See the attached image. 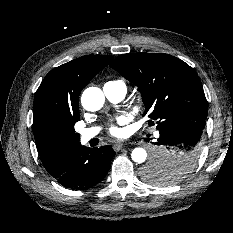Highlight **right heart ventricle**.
<instances>
[{
	"label": "right heart ventricle",
	"instance_id": "right-heart-ventricle-1",
	"mask_svg": "<svg viewBox=\"0 0 233 233\" xmlns=\"http://www.w3.org/2000/svg\"><path fill=\"white\" fill-rule=\"evenodd\" d=\"M106 84H110V85H124V83L121 80L109 81Z\"/></svg>",
	"mask_w": 233,
	"mask_h": 233
}]
</instances>
